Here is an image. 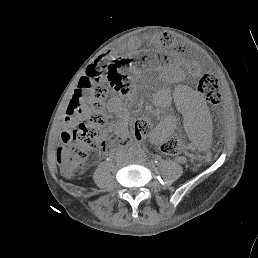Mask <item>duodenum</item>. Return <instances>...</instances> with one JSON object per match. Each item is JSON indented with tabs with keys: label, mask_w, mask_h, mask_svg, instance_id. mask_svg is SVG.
<instances>
[{
	"label": "duodenum",
	"mask_w": 258,
	"mask_h": 258,
	"mask_svg": "<svg viewBox=\"0 0 258 258\" xmlns=\"http://www.w3.org/2000/svg\"><path fill=\"white\" fill-rule=\"evenodd\" d=\"M123 149H124V148H119V149L116 151V153L122 151Z\"/></svg>",
	"instance_id": "1"
}]
</instances>
